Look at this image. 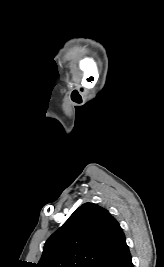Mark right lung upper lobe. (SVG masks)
<instances>
[{"instance_id":"1","label":"right lung upper lobe","mask_w":164,"mask_h":267,"mask_svg":"<svg viewBox=\"0 0 164 267\" xmlns=\"http://www.w3.org/2000/svg\"><path fill=\"white\" fill-rule=\"evenodd\" d=\"M126 245L117 220L97 204L85 203L46 241L37 267H99Z\"/></svg>"}]
</instances>
